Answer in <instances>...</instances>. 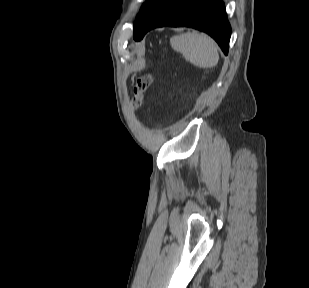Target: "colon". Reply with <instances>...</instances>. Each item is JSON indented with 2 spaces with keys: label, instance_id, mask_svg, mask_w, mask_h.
Returning <instances> with one entry per match:
<instances>
[{
  "label": "colon",
  "instance_id": "obj_1",
  "mask_svg": "<svg viewBox=\"0 0 309 288\" xmlns=\"http://www.w3.org/2000/svg\"><path fill=\"white\" fill-rule=\"evenodd\" d=\"M151 84H152V74L150 72L138 75L131 101L133 109H138L141 106L144 94L148 90Z\"/></svg>",
  "mask_w": 309,
  "mask_h": 288
}]
</instances>
